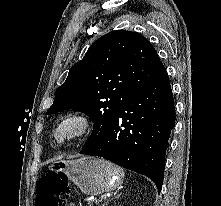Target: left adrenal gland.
<instances>
[{
  "label": "left adrenal gland",
  "instance_id": "obj_1",
  "mask_svg": "<svg viewBox=\"0 0 221 206\" xmlns=\"http://www.w3.org/2000/svg\"><path fill=\"white\" fill-rule=\"evenodd\" d=\"M119 196H120V195H117L116 198H118ZM109 201H111V200H109ZM109 201H107L106 203H104L102 206L107 205V204L109 203Z\"/></svg>",
  "mask_w": 221,
  "mask_h": 206
}]
</instances>
